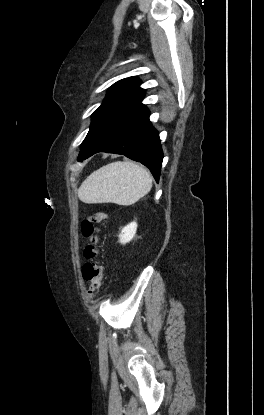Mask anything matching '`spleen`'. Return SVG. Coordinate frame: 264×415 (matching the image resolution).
Here are the masks:
<instances>
[{
	"instance_id": "spleen-1",
	"label": "spleen",
	"mask_w": 264,
	"mask_h": 415,
	"mask_svg": "<svg viewBox=\"0 0 264 415\" xmlns=\"http://www.w3.org/2000/svg\"><path fill=\"white\" fill-rule=\"evenodd\" d=\"M152 187L149 172L129 161L109 163L91 173L78 189L79 199L87 204L115 203L129 206Z\"/></svg>"
}]
</instances>
